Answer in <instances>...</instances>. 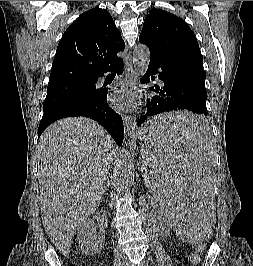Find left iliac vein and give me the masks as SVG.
Masks as SVG:
<instances>
[{
  "mask_svg": "<svg viewBox=\"0 0 253 266\" xmlns=\"http://www.w3.org/2000/svg\"><path fill=\"white\" fill-rule=\"evenodd\" d=\"M142 266H148V265L144 264V265H142Z\"/></svg>",
  "mask_w": 253,
  "mask_h": 266,
  "instance_id": "left-iliac-vein-1",
  "label": "left iliac vein"
}]
</instances>
